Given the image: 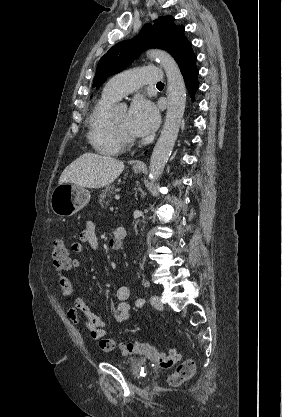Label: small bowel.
I'll use <instances>...</instances> for the list:
<instances>
[{"mask_svg":"<svg viewBox=\"0 0 282 417\" xmlns=\"http://www.w3.org/2000/svg\"><path fill=\"white\" fill-rule=\"evenodd\" d=\"M117 228L118 227L113 230L112 236L110 238V244L115 249H118L116 247L117 242L114 239L115 231ZM83 244H87L94 251L99 249V238L96 235V226L92 220H86L84 222V226L79 233V241L73 243L72 251L76 254L81 253L83 250ZM80 267L81 261L78 258H74L70 261V268L79 269ZM58 283L62 297H69L72 295L73 284L68 276L60 273ZM129 295L130 289L127 286H119L115 289L114 297L116 300V306L112 310V319L115 324H125L129 319ZM67 317L73 325H83L85 328H87L93 340L107 339L106 322L90 309L82 297L77 296L74 301V306L67 308Z\"/></svg>","mask_w":282,"mask_h":417,"instance_id":"small-bowel-1","label":"small bowel"}]
</instances>
